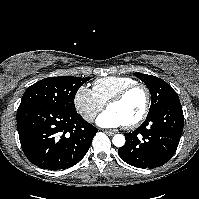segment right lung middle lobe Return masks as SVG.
<instances>
[{
	"mask_svg": "<svg viewBox=\"0 0 199 199\" xmlns=\"http://www.w3.org/2000/svg\"><path fill=\"white\" fill-rule=\"evenodd\" d=\"M89 79L70 76L45 78L26 89L20 106L41 104L63 112H76L75 94Z\"/></svg>",
	"mask_w": 199,
	"mask_h": 199,
	"instance_id": "dd1d6c3e",
	"label": "right lung middle lobe"
}]
</instances>
